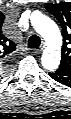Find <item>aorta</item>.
I'll return each mask as SVG.
<instances>
[{
	"mask_svg": "<svg viewBox=\"0 0 71 119\" xmlns=\"http://www.w3.org/2000/svg\"><path fill=\"white\" fill-rule=\"evenodd\" d=\"M31 22L47 44L41 58L42 65L46 70L54 71L58 68L61 60L62 36L60 30L52 19L39 12L32 14Z\"/></svg>",
	"mask_w": 71,
	"mask_h": 119,
	"instance_id": "762f6f07",
	"label": "aorta"
}]
</instances>
